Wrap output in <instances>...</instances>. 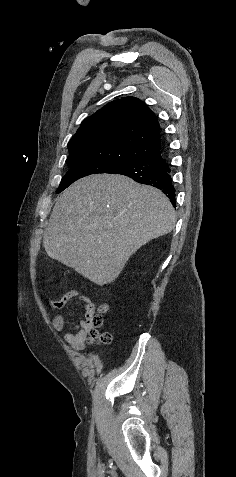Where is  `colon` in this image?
Instances as JSON below:
<instances>
[{"label": "colon", "instance_id": "1", "mask_svg": "<svg viewBox=\"0 0 236 477\" xmlns=\"http://www.w3.org/2000/svg\"><path fill=\"white\" fill-rule=\"evenodd\" d=\"M108 310L106 305H102L99 308V313L95 314L90 319L91 329L88 333L89 340L91 342H99L101 344H110L113 340L112 334L110 332H99L97 328L102 324L101 314L105 313Z\"/></svg>", "mask_w": 236, "mask_h": 477}]
</instances>
